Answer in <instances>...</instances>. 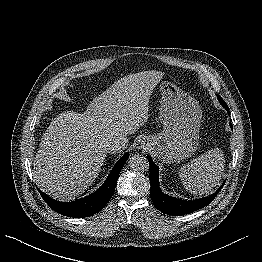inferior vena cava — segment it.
<instances>
[{
    "label": "inferior vena cava",
    "instance_id": "602c4592",
    "mask_svg": "<svg viewBox=\"0 0 262 262\" xmlns=\"http://www.w3.org/2000/svg\"><path fill=\"white\" fill-rule=\"evenodd\" d=\"M127 140L125 139H117L109 143L108 145V153H119L127 148Z\"/></svg>",
    "mask_w": 262,
    "mask_h": 262
}]
</instances>
